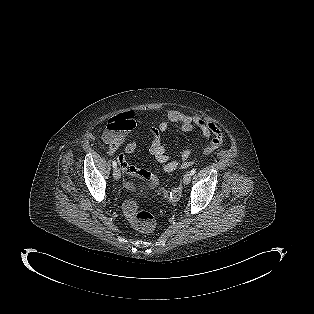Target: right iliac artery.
Here are the masks:
<instances>
[{
    "label": "right iliac artery",
    "instance_id": "obj_1",
    "mask_svg": "<svg viewBox=\"0 0 314 314\" xmlns=\"http://www.w3.org/2000/svg\"><path fill=\"white\" fill-rule=\"evenodd\" d=\"M112 165H113V168H116L117 167V163L115 160L112 161Z\"/></svg>",
    "mask_w": 314,
    "mask_h": 314
}]
</instances>
